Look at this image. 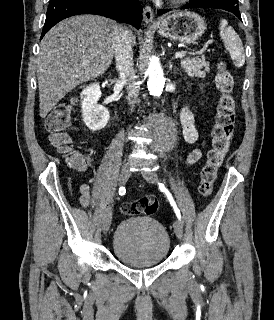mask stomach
Here are the masks:
<instances>
[{"label": "stomach", "instance_id": "1", "mask_svg": "<svg viewBox=\"0 0 274 320\" xmlns=\"http://www.w3.org/2000/svg\"><path fill=\"white\" fill-rule=\"evenodd\" d=\"M159 26H152L162 38L177 40L181 44H193L203 36L206 28L204 18L194 12H178L159 20Z\"/></svg>", "mask_w": 274, "mask_h": 320}]
</instances>
